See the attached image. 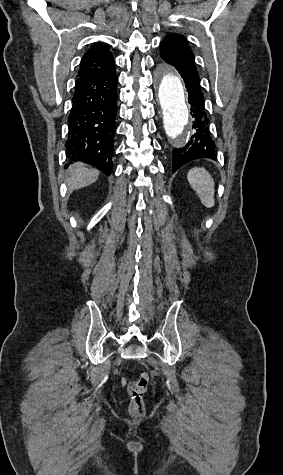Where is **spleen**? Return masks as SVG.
Segmentation results:
<instances>
[{
  "instance_id": "spleen-1",
  "label": "spleen",
  "mask_w": 283,
  "mask_h": 475,
  "mask_svg": "<svg viewBox=\"0 0 283 475\" xmlns=\"http://www.w3.org/2000/svg\"><path fill=\"white\" fill-rule=\"evenodd\" d=\"M187 180L192 190H195L197 196H199L201 204L206 208H213L215 206V184L209 172H206L205 168H192L187 174Z\"/></svg>"
}]
</instances>
